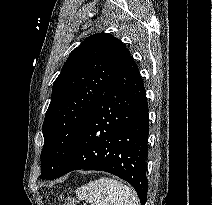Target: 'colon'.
<instances>
[{
	"label": "colon",
	"instance_id": "obj_1",
	"mask_svg": "<svg viewBox=\"0 0 212 205\" xmlns=\"http://www.w3.org/2000/svg\"><path fill=\"white\" fill-rule=\"evenodd\" d=\"M63 200H64L65 205H76L75 200L70 196H64Z\"/></svg>",
	"mask_w": 212,
	"mask_h": 205
}]
</instances>
